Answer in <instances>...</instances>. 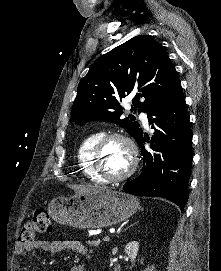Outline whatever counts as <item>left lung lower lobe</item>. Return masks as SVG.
I'll list each match as a JSON object with an SVG mask.
<instances>
[{"instance_id": "left-lung-lower-lobe-1", "label": "left lung lower lobe", "mask_w": 221, "mask_h": 271, "mask_svg": "<svg viewBox=\"0 0 221 271\" xmlns=\"http://www.w3.org/2000/svg\"><path fill=\"white\" fill-rule=\"evenodd\" d=\"M152 116H155L152 118ZM149 122L155 123L164 132L155 129L152 136L162 152V161L152 162V156L145 150L144 143L149 141L148 135L136 139L143 156L142 173L134 180L124 184L125 192L137 195L155 197L161 196L171 200L181 207V211L188 201V181L190 178L193 159L192 132L189 114L186 109L185 97L179 84L172 94L148 116ZM161 136H158V135Z\"/></svg>"}]
</instances>
